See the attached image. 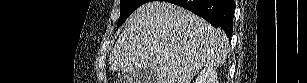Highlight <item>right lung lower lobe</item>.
Returning <instances> with one entry per match:
<instances>
[{
    "mask_svg": "<svg viewBox=\"0 0 307 83\" xmlns=\"http://www.w3.org/2000/svg\"><path fill=\"white\" fill-rule=\"evenodd\" d=\"M207 20L214 27H221L230 38L233 33V0H170Z\"/></svg>",
    "mask_w": 307,
    "mask_h": 83,
    "instance_id": "98d812e1",
    "label": "right lung lower lobe"
}]
</instances>
